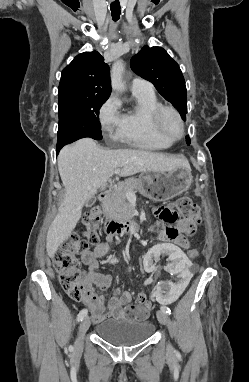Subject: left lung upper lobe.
Segmentation results:
<instances>
[{"mask_svg":"<svg viewBox=\"0 0 249 382\" xmlns=\"http://www.w3.org/2000/svg\"><path fill=\"white\" fill-rule=\"evenodd\" d=\"M132 70L140 77L154 84L158 92L181 114L185 120L187 113L186 86L178 64L161 47L145 46L132 57ZM190 144V138L186 137Z\"/></svg>","mask_w":249,"mask_h":382,"instance_id":"5c2ea615","label":"left lung upper lobe"}]
</instances>
